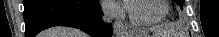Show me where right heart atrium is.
<instances>
[{"instance_id":"d8ad5b80","label":"right heart atrium","mask_w":219,"mask_h":37,"mask_svg":"<svg viewBox=\"0 0 219 37\" xmlns=\"http://www.w3.org/2000/svg\"><path fill=\"white\" fill-rule=\"evenodd\" d=\"M104 7L106 10V13L110 16H115L120 13V8L118 4L114 1H106L104 2Z\"/></svg>"}]
</instances>
